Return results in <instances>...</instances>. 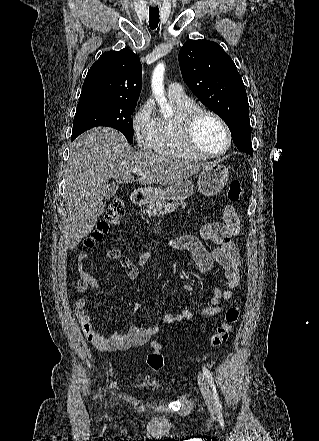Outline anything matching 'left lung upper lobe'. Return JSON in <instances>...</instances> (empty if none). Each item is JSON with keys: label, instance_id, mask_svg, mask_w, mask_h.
Here are the masks:
<instances>
[{"label": "left lung upper lobe", "instance_id": "5c2ea615", "mask_svg": "<svg viewBox=\"0 0 319 441\" xmlns=\"http://www.w3.org/2000/svg\"><path fill=\"white\" fill-rule=\"evenodd\" d=\"M183 80L228 125L236 147L253 155L245 86L231 57L209 40H189L178 55Z\"/></svg>", "mask_w": 319, "mask_h": 441}]
</instances>
